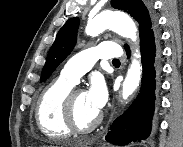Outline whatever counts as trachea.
<instances>
[{
    "instance_id": "obj_1",
    "label": "trachea",
    "mask_w": 183,
    "mask_h": 147,
    "mask_svg": "<svg viewBox=\"0 0 183 147\" xmlns=\"http://www.w3.org/2000/svg\"><path fill=\"white\" fill-rule=\"evenodd\" d=\"M112 62H120L118 59H113Z\"/></svg>"
}]
</instances>
